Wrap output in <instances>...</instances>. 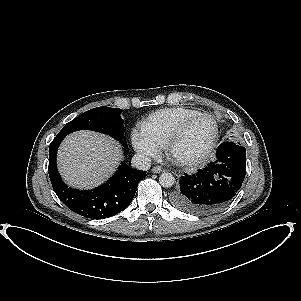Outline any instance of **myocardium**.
<instances>
[{
  "label": "myocardium",
  "instance_id": "myocardium-1",
  "mask_svg": "<svg viewBox=\"0 0 301 301\" xmlns=\"http://www.w3.org/2000/svg\"><path fill=\"white\" fill-rule=\"evenodd\" d=\"M200 118H207L213 122V126H214L213 135H212V138H211L209 144L207 145V147L197 157L183 159V160L178 159V161L180 163L184 164L185 166H198V165H201L208 161L212 151L214 150V148L216 146L218 136H219V129H218V124H217L216 119L212 115L207 114V113H202V112H200L194 116H191L188 119L184 120L170 134V136L167 138L165 145H164L167 155L169 157H174L173 148H174L175 144L182 138V136L184 135V133L187 130V128L189 127V125Z\"/></svg>",
  "mask_w": 301,
  "mask_h": 301
}]
</instances>
